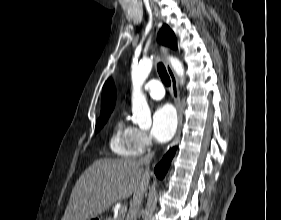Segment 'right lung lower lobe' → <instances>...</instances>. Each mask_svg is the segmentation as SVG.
I'll use <instances>...</instances> for the list:
<instances>
[{
    "label": "right lung lower lobe",
    "instance_id": "98d812e1",
    "mask_svg": "<svg viewBox=\"0 0 281 220\" xmlns=\"http://www.w3.org/2000/svg\"><path fill=\"white\" fill-rule=\"evenodd\" d=\"M176 147L171 148L167 154L163 157L162 161L155 167V174L159 179H163L173 156L175 155Z\"/></svg>",
    "mask_w": 281,
    "mask_h": 220
}]
</instances>
